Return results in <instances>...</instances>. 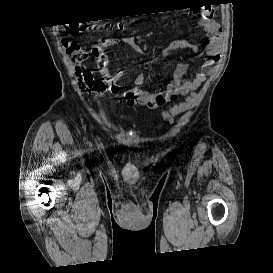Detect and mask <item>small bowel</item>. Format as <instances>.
Returning <instances> with one entry per match:
<instances>
[{
    "label": "small bowel",
    "mask_w": 273,
    "mask_h": 273,
    "mask_svg": "<svg viewBox=\"0 0 273 273\" xmlns=\"http://www.w3.org/2000/svg\"><path fill=\"white\" fill-rule=\"evenodd\" d=\"M199 25L208 35V44L206 46L208 58L201 66V69L190 79H184L188 65L184 62L178 63L175 68L173 80L163 90L157 92L147 91L141 87L147 82V74L144 72L136 77L134 87L121 93L118 83L123 78L124 73L118 71L112 74L108 69L109 55L106 52L108 47L118 45L122 42L130 51L142 53L133 37H125L121 40L107 37L100 39L94 44L90 52L95 57L99 72L109 86V92L116 98V101L124 103L128 107L140 105L148 109H159L166 103L175 101L179 96L195 91L213 73L219 61L222 47L221 27L212 18L210 12L203 11L201 13ZM177 50H191L197 53L199 48L196 44L186 39H176L162 49L161 55L166 57L171 52Z\"/></svg>",
    "instance_id": "1"
}]
</instances>
